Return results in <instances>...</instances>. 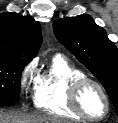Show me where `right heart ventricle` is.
Masks as SVG:
<instances>
[{"mask_svg":"<svg viewBox=\"0 0 118 123\" xmlns=\"http://www.w3.org/2000/svg\"><path fill=\"white\" fill-rule=\"evenodd\" d=\"M84 76L64 57L54 56L48 68L37 77L33 96L35 107L53 116L82 120L70 106L69 88L74 80Z\"/></svg>","mask_w":118,"mask_h":123,"instance_id":"right-heart-ventricle-1","label":"right heart ventricle"}]
</instances>
